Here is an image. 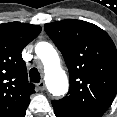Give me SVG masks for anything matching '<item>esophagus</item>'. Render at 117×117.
Masks as SVG:
<instances>
[{"mask_svg":"<svg viewBox=\"0 0 117 117\" xmlns=\"http://www.w3.org/2000/svg\"><path fill=\"white\" fill-rule=\"evenodd\" d=\"M37 87L39 88V90L43 91L45 90V83L44 81H41L40 83L37 84Z\"/></svg>","mask_w":117,"mask_h":117,"instance_id":"1","label":"esophagus"}]
</instances>
